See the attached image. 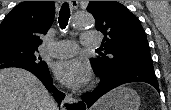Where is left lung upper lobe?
I'll list each match as a JSON object with an SVG mask.
<instances>
[{"instance_id":"obj_1","label":"left lung upper lobe","mask_w":171,"mask_h":110,"mask_svg":"<svg viewBox=\"0 0 171 110\" xmlns=\"http://www.w3.org/2000/svg\"><path fill=\"white\" fill-rule=\"evenodd\" d=\"M96 20V29L104 34L102 50L91 59L96 75L120 68H152L148 41L139 19L117 1H90L87 7Z\"/></svg>"}]
</instances>
